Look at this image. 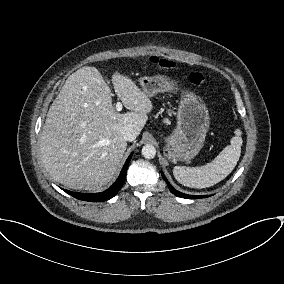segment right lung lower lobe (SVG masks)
<instances>
[{
    "mask_svg": "<svg viewBox=\"0 0 284 284\" xmlns=\"http://www.w3.org/2000/svg\"><path fill=\"white\" fill-rule=\"evenodd\" d=\"M133 154H131L128 159L126 160L122 171L118 177V179L115 181V183L106 191L101 192V193H93V194H88V193H76L72 192L69 190H64L66 193L69 195L79 199V200H84V201H89V202H101V201H106L114 197L118 191L121 189V187L124 184L125 178H126V172H127V167L128 164L131 160Z\"/></svg>",
    "mask_w": 284,
    "mask_h": 284,
    "instance_id": "98d812e1",
    "label": "right lung lower lobe"
}]
</instances>
